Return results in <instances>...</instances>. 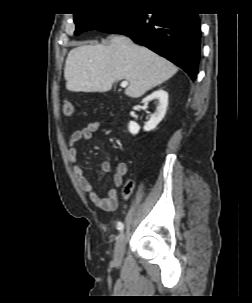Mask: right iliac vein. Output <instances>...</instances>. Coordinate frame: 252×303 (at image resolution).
<instances>
[{
    "label": "right iliac vein",
    "instance_id": "63e3f726",
    "mask_svg": "<svg viewBox=\"0 0 252 303\" xmlns=\"http://www.w3.org/2000/svg\"><path fill=\"white\" fill-rule=\"evenodd\" d=\"M125 241H126V236L125 233L122 232L119 235L114 247V261L117 264H121L122 262L124 256Z\"/></svg>",
    "mask_w": 252,
    "mask_h": 303
}]
</instances>
